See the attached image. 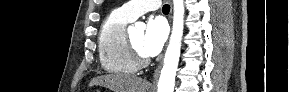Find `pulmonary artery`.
<instances>
[{"label":"pulmonary artery","instance_id":"pulmonary-artery-1","mask_svg":"<svg viewBox=\"0 0 289 92\" xmlns=\"http://www.w3.org/2000/svg\"><path fill=\"white\" fill-rule=\"evenodd\" d=\"M160 5L159 0H133L125 3L118 10L129 19L134 20L148 11L158 9Z\"/></svg>","mask_w":289,"mask_h":92}]
</instances>
